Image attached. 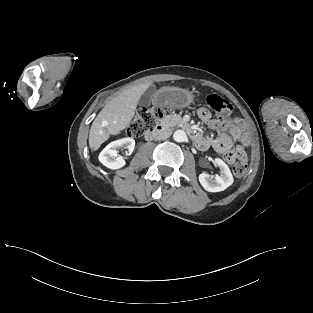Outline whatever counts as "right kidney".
<instances>
[{"label":"right kidney","instance_id":"1","mask_svg":"<svg viewBox=\"0 0 313 313\" xmlns=\"http://www.w3.org/2000/svg\"><path fill=\"white\" fill-rule=\"evenodd\" d=\"M125 147L128 149L127 155H131L135 140L133 138H122L108 144L99 154V161L109 169H119L125 165V160L122 156H118V149Z\"/></svg>","mask_w":313,"mask_h":313}]
</instances>
